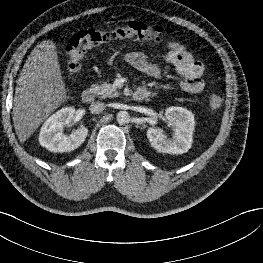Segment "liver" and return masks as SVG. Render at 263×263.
<instances>
[{"label":"liver","instance_id":"6515ba94","mask_svg":"<svg viewBox=\"0 0 263 263\" xmlns=\"http://www.w3.org/2000/svg\"><path fill=\"white\" fill-rule=\"evenodd\" d=\"M66 99V88L53 41L39 43L30 53L17 80L13 122L24 143Z\"/></svg>","mask_w":263,"mask_h":263}]
</instances>
